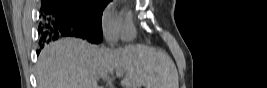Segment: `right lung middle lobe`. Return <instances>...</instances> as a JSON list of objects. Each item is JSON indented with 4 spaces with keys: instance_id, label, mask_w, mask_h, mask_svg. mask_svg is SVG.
<instances>
[{
    "instance_id": "obj_1",
    "label": "right lung middle lobe",
    "mask_w": 267,
    "mask_h": 88,
    "mask_svg": "<svg viewBox=\"0 0 267 88\" xmlns=\"http://www.w3.org/2000/svg\"><path fill=\"white\" fill-rule=\"evenodd\" d=\"M111 0H42L45 13L68 18L87 31L101 36L102 12Z\"/></svg>"
}]
</instances>
